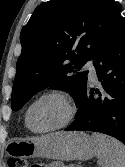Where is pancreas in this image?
I'll return each instance as SVG.
<instances>
[{"mask_svg": "<svg viewBox=\"0 0 125 167\" xmlns=\"http://www.w3.org/2000/svg\"><path fill=\"white\" fill-rule=\"evenodd\" d=\"M66 167H75L74 165H69V166H66Z\"/></svg>", "mask_w": 125, "mask_h": 167, "instance_id": "obj_1", "label": "pancreas"}]
</instances>
